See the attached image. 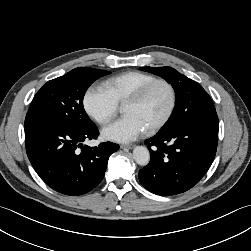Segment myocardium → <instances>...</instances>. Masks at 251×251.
I'll return each mask as SVG.
<instances>
[{"label":"myocardium","mask_w":251,"mask_h":251,"mask_svg":"<svg viewBox=\"0 0 251 251\" xmlns=\"http://www.w3.org/2000/svg\"><path fill=\"white\" fill-rule=\"evenodd\" d=\"M159 84H163L165 85L169 91H170V95H171V102H170V107L166 113V115L164 116V118L155 126H153L152 128L147 130L148 134H155L157 132H159L160 130H162L171 120L176 106H177V92L176 89L174 87V85L166 80V79H156L154 81H151L149 83H147L146 85H144L143 87H141L134 95H132L124 104V107L127 105H134V104H139L141 103L145 97L148 95V93L156 86Z\"/></svg>","instance_id":"1"}]
</instances>
